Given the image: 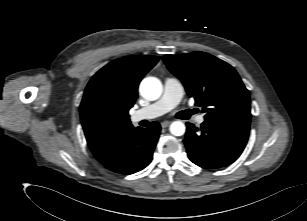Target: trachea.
I'll list each match as a JSON object with an SVG mask.
<instances>
[{
    "label": "trachea",
    "mask_w": 307,
    "mask_h": 221,
    "mask_svg": "<svg viewBox=\"0 0 307 221\" xmlns=\"http://www.w3.org/2000/svg\"><path fill=\"white\" fill-rule=\"evenodd\" d=\"M195 113H196L195 110H188V111H187V115H188V116H190V115H192V114H195Z\"/></svg>",
    "instance_id": "obj_1"
}]
</instances>
